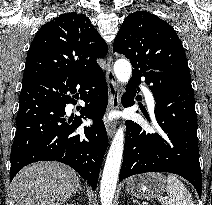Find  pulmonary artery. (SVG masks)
I'll use <instances>...</instances> for the list:
<instances>
[{
  "mask_svg": "<svg viewBox=\"0 0 212 205\" xmlns=\"http://www.w3.org/2000/svg\"><path fill=\"white\" fill-rule=\"evenodd\" d=\"M143 93H144L146 102L149 105V107L151 109H154L155 103H154V97H153L152 92L149 89H147L146 87H143Z\"/></svg>",
  "mask_w": 212,
  "mask_h": 205,
  "instance_id": "obj_1",
  "label": "pulmonary artery"
}]
</instances>
